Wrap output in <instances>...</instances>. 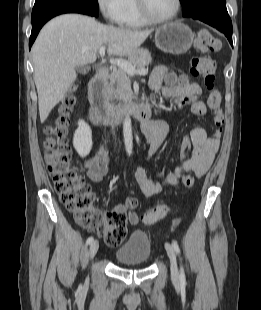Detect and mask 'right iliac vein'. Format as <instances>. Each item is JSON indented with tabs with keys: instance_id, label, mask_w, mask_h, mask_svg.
I'll return each instance as SVG.
<instances>
[{
	"instance_id": "right-iliac-vein-1",
	"label": "right iliac vein",
	"mask_w": 261,
	"mask_h": 310,
	"mask_svg": "<svg viewBox=\"0 0 261 310\" xmlns=\"http://www.w3.org/2000/svg\"><path fill=\"white\" fill-rule=\"evenodd\" d=\"M98 248H99V242L97 240L93 241L89 248L90 259H92L96 255Z\"/></svg>"
}]
</instances>
